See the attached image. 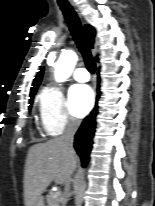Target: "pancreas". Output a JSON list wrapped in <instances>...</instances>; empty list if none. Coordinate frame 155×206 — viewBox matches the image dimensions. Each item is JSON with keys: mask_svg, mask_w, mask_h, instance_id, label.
Segmentation results:
<instances>
[{"mask_svg": "<svg viewBox=\"0 0 155 206\" xmlns=\"http://www.w3.org/2000/svg\"><path fill=\"white\" fill-rule=\"evenodd\" d=\"M61 199L62 197L60 194L50 191L46 195L47 206H60L59 204H60Z\"/></svg>", "mask_w": 155, "mask_h": 206, "instance_id": "1", "label": "pancreas"}]
</instances>
